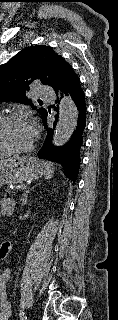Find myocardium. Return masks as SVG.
I'll use <instances>...</instances> for the list:
<instances>
[{
  "label": "myocardium",
  "instance_id": "f54148a6",
  "mask_svg": "<svg viewBox=\"0 0 118 320\" xmlns=\"http://www.w3.org/2000/svg\"><path fill=\"white\" fill-rule=\"evenodd\" d=\"M11 122H27V120L25 117L18 115V114H9V115H5V116H0V133H1V130L3 129V127ZM33 132H34V135H33L32 142L27 147L20 148V149H13V148L8 147L6 145V143L0 137V149L2 151H4L6 154H15V155L25 154V153L32 151L34 149L35 140H36V136H37L36 131L34 129H33Z\"/></svg>",
  "mask_w": 118,
  "mask_h": 320
}]
</instances>
